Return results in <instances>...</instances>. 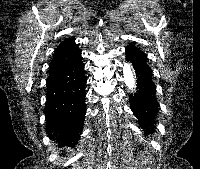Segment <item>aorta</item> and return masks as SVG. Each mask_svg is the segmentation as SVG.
Wrapping results in <instances>:
<instances>
[{
  "mask_svg": "<svg viewBox=\"0 0 200 169\" xmlns=\"http://www.w3.org/2000/svg\"><path fill=\"white\" fill-rule=\"evenodd\" d=\"M124 83L128 90L133 92L136 87V79L130 63L124 62L123 65Z\"/></svg>",
  "mask_w": 200,
  "mask_h": 169,
  "instance_id": "aorta-1",
  "label": "aorta"
}]
</instances>
